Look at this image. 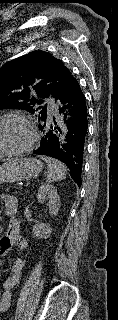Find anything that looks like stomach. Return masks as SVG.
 <instances>
[{
    "instance_id": "stomach-1",
    "label": "stomach",
    "mask_w": 118,
    "mask_h": 320,
    "mask_svg": "<svg viewBox=\"0 0 118 320\" xmlns=\"http://www.w3.org/2000/svg\"><path fill=\"white\" fill-rule=\"evenodd\" d=\"M43 170V163L36 158H15L0 165V184L36 178Z\"/></svg>"
}]
</instances>
